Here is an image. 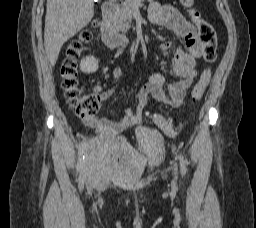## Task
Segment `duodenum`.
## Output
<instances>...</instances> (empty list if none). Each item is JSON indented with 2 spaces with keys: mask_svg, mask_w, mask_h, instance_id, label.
Returning a JSON list of instances; mask_svg holds the SVG:
<instances>
[{
  "mask_svg": "<svg viewBox=\"0 0 256 228\" xmlns=\"http://www.w3.org/2000/svg\"><path fill=\"white\" fill-rule=\"evenodd\" d=\"M117 11L113 2H106L102 7L103 22L100 28V36L103 43L110 48H117L124 45L127 39L118 34L112 27L111 22Z\"/></svg>",
  "mask_w": 256,
  "mask_h": 228,
  "instance_id": "obj_1",
  "label": "duodenum"
}]
</instances>
